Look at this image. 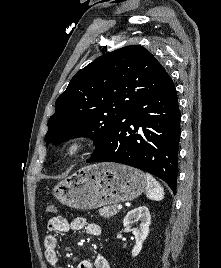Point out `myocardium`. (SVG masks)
<instances>
[{
    "label": "myocardium",
    "mask_w": 221,
    "mask_h": 268,
    "mask_svg": "<svg viewBox=\"0 0 221 268\" xmlns=\"http://www.w3.org/2000/svg\"><path fill=\"white\" fill-rule=\"evenodd\" d=\"M95 145L92 137L87 135H77L69 139L62 148V155L68 161H74L87 152H89Z\"/></svg>",
    "instance_id": "f54148a6"
}]
</instances>
